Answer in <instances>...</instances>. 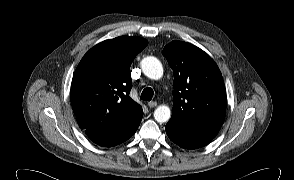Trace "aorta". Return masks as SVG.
I'll return each mask as SVG.
<instances>
[{"mask_svg": "<svg viewBox=\"0 0 294 180\" xmlns=\"http://www.w3.org/2000/svg\"><path fill=\"white\" fill-rule=\"evenodd\" d=\"M141 68L143 73L150 79L158 80L163 76V66L156 57H145L141 61ZM170 117L171 110L166 105H160L154 111V118L158 123L167 122Z\"/></svg>", "mask_w": 294, "mask_h": 180, "instance_id": "762f6f07", "label": "aorta"}]
</instances>
